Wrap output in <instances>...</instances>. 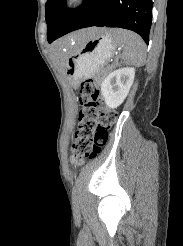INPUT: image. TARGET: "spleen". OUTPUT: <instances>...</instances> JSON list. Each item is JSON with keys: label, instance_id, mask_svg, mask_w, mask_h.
Segmentation results:
<instances>
[{"label": "spleen", "instance_id": "spleen-1", "mask_svg": "<svg viewBox=\"0 0 183 246\" xmlns=\"http://www.w3.org/2000/svg\"><path fill=\"white\" fill-rule=\"evenodd\" d=\"M114 43L123 48V59L127 64L142 66L146 57V46L142 38L132 31L113 29Z\"/></svg>", "mask_w": 183, "mask_h": 246}]
</instances>
